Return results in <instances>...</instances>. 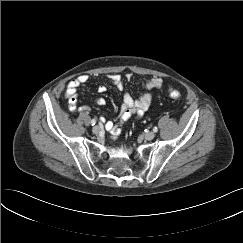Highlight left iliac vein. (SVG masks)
Returning <instances> with one entry per match:
<instances>
[{
	"mask_svg": "<svg viewBox=\"0 0 243 243\" xmlns=\"http://www.w3.org/2000/svg\"><path fill=\"white\" fill-rule=\"evenodd\" d=\"M146 140H152L155 137V133L150 131L144 134Z\"/></svg>",
	"mask_w": 243,
	"mask_h": 243,
	"instance_id": "left-iliac-vein-1",
	"label": "left iliac vein"
}]
</instances>
